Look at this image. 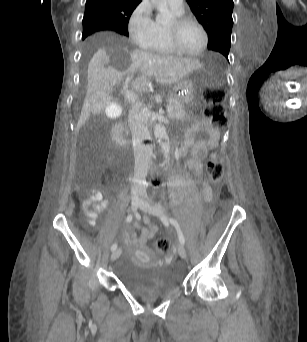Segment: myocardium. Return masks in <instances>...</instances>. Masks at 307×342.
Returning a JSON list of instances; mask_svg holds the SVG:
<instances>
[{
	"label": "myocardium",
	"instance_id": "obj_1",
	"mask_svg": "<svg viewBox=\"0 0 307 342\" xmlns=\"http://www.w3.org/2000/svg\"><path fill=\"white\" fill-rule=\"evenodd\" d=\"M188 22L197 23L201 27L204 34L203 46L199 51L195 53L186 52L184 49H182L177 40V34L179 29ZM164 41L167 47L170 49V51L174 54L188 58H199L207 51L209 47L210 35L207 25L203 20H201L199 17L195 15L186 14L175 17L171 22V26L168 29L164 30Z\"/></svg>",
	"mask_w": 307,
	"mask_h": 342
}]
</instances>
